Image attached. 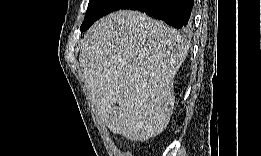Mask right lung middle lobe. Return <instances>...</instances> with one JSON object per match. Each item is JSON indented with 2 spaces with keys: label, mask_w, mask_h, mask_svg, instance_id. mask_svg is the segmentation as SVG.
<instances>
[{
  "label": "right lung middle lobe",
  "mask_w": 261,
  "mask_h": 156,
  "mask_svg": "<svg viewBox=\"0 0 261 156\" xmlns=\"http://www.w3.org/2000/svg\"><path fill=\"white\" fill-rule=\"evenodd\" d=\"M129 1L130 0H91L88 5L87 15L80 28L81 31L89 29L96 20L107 13L121 9V7Z\"/></svg>",
  "instance_id": "dd1d6c3e"
}]
</instances>
